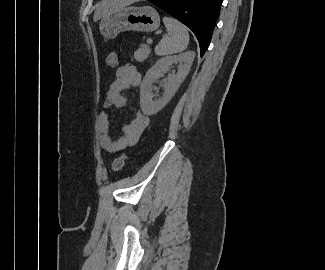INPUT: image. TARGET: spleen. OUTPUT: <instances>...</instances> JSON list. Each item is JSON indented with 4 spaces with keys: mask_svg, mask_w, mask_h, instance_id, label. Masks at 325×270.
I'll use <instances>...</instances> for the list:
<instances>
[{
    "mask_svg": "<svg viewBox=\"0 0 325 270\" xmlns=\"http://www.w3.org/2000/svg\"><path fill=\"white\" fill-rule=\"evenodd\" d=\"M163 23L167 29L168 37L163 38L155 47L159 56L183 52L189 43L187 28L171 17H164Z\"/></svg>",
    "mask_w": 325,
    "mask_h": 270,
    "instance_id": "1",
    "label": "spleen"
}]
</instances>
